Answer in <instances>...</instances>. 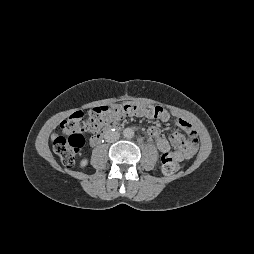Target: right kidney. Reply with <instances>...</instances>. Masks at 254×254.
I'll use <instances>...</instances> for the list:
<instances>
[{
  "instance_id": "right-kidney-1",
  "label": "right kidney",
  "mask_w": 254,
  "mask_h": 254,
  "mask_svg": "<svg viewBox=\"0 0 254 254\" xmlns=\"http://www.w3.org/2000/svg\"><path fill=\"white\" fill-rule=\"evenodd\" d=\"M87 164H88V160H87V159H82V160L80 161V167H81V168L86 167Z\"/></svg>"
}]
</instances>
